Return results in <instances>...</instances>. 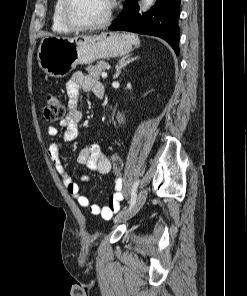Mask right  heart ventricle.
Returning a JSON list of instances; mask_svg holds the SVG:
<instances>
[{
  "mask_svg": "<svg viewBox=\"0 0 247 296\" xmlns=\"http://www.w3.org/2000/svg\"><path fill=\"white\" fill-rule=\"evenodd\" d=\"M64 0H55L52 16H51V27L52 30L59 34H68L71 33L72 30L66 26L62 19V6Z\"/></svg>",
  "mask_w": 247,
  "mask_h": 296,
  "instance_id": "e07e8e85",
  "label": "right heart ventricle"
}]
</instances>
